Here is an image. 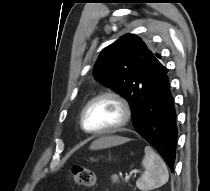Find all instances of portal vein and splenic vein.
Here are the masks:
<instances>
[{"label":"portal vein and splenic vein","instance_id":"portal-vein-and-splenic-vein-1","mask_svg":"<svg viewBox=\"0 0 210 191\" xmlns=\"http://www.w3.org/2000/svg\"><path fill=\"white\" fill-rule=\"evenodd\" d=\"M138 171H136L135 173H137ZM130 180V175H126L125 176V182H128Z\"/></svg>","mask_w":210,"mask_h":191}]
</instances>
